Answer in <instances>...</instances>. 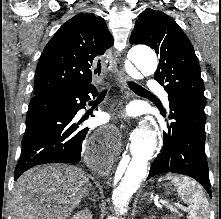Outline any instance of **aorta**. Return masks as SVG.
<instances>
[{
	"mask_svg": "<svg viewBox=\"0 0 221 219\" xmlns=\"http://www.w3.org/2000/svg\"><path fill=\"white\" fill-rule=\"evenodd\" d=\"M128 59L143 73L153 74L157 68V56L146 46H135L128 52ZM157 147L155 130L141 128L137 131L131 155L122 158L112 176V201L120 214L127 206L147 174L148 162Z\"/></svg>",
	"mask_w": 221,
	"mask_h": 219,
	"instance_id": "aorta-1",
	"label": "aorta"
}]
</instances>
